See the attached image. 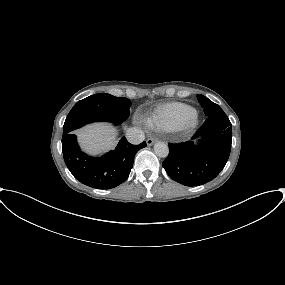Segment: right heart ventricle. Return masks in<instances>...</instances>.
Wrapping results in <instances>:
<instances>
[{
  "mask_svg": "<svg viewBox=\"0 0 285 285\" xmlns=\"http://www.w3.org/2000/svg\"><path fill=\"white\" fill-rule=\"evenodd\" d=\"M193 112L195 110L190 105L179 102L168 103L154 110L145 119V123L149 128L174 131L180 129Z\"/></svg>",
  "mask_w": 285,
  "mask_h": 285,
  "instance_id": "e07e8e85",
  "label": "right heart ventricle"
}]
</instances>
